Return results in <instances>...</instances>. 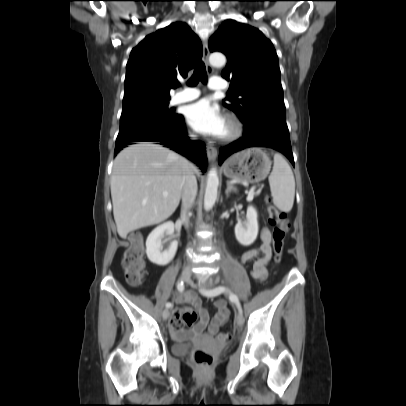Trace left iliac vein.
<instances>
[{
	"label": "left iliac vein",
	"mask_w": 406,
	"mask_h": 406,
	"mask_svg": "<svg viewBox=\"0 0 406 406\" xmlns=\"http://www.w3.org/2000/svg\"><path fill=\"white\" fill-rule=\"evenodd\" d=\"M206 288L209 289V284H206ZM236 323L239 327H242L244 324V317L243 314L241 312L238 313L237 317H236Z\"/></svg>",
	"instance_id": "obj_1"
}]
</instances>
